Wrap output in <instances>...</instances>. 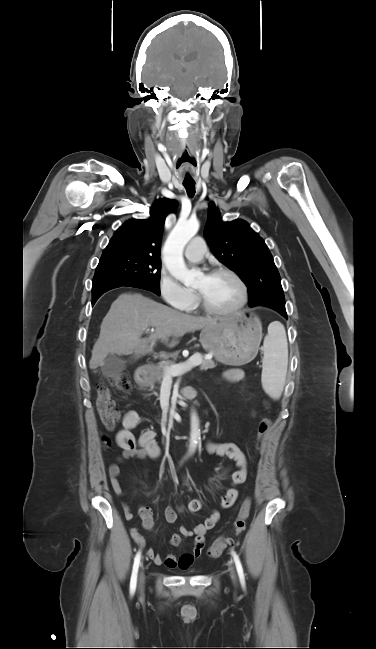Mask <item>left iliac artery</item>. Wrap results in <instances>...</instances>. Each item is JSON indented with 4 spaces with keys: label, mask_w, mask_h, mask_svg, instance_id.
<instances>
[{
    "label": "left iliac artery",
    "mask_w": 376,
    "mask_h": 649,
    "mask_svg": "<svg viewBox=\"0 0 376 649\" xmlns=\"http://www.w3.org/2000/svg\"><path fill=\"white\" fill-rule=\"evenodd\" d=\"M232 556H233V559H234V562H235V565H236V569H237V573H238L240 582H241L242 586L244 587L245 586V576H244V572H243V568H242V564L240 562L239 556L236 554L235 551H232Z\"/></svg>",
    "instance_id": "obj_1"
}]
</instances>
